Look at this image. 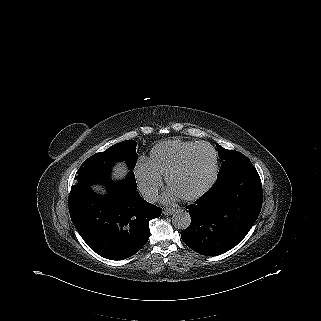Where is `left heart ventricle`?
<instances>
[{
	"mask_svg": "<svg viewBox=\"0 0 321 321\" xmlns=\"http://www.w3.org/2000/svg\"><path fill=\"white\" fill-rule=\"evenodd\" d=\"M213 169L212 151L205 147L198 148L191 155L186 166L173 176L170 188L180 196L193 194L209 182Z\"/></svg>",
	"mask_w": 321,
	"mask_h": 321,
	"instance_id": "left-heart-ventricle-1",
	"label": "left heart ventricle"
}]
</instances>
